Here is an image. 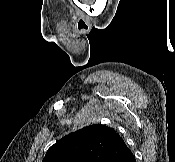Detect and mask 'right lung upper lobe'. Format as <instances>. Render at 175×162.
I'll use <instances>...</instances> for the list:
<instances>
[{
  "instance_id": "1",
  "label": "right lung upper lobe",
  "mask_w": 175,
  "mask_h": 162,
  "mask_svg": "<svg viewBox=\"0 0 175 162\" xmlns=\"http://www.w3.org/2000/svg\"><path fill=\"white\" fill-rule=\"evenodd\" d=\"M128 152L113 128L94 124L61 138L48 149L42 162H115Z\"/></svg>"
}]
</instances>
